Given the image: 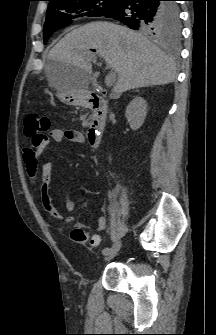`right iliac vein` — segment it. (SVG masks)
Here are the masks:
<instances>
[{
  "mask_svg": "<svg viewBox=\"0 0 216 335\" xmlns=\"http://www.w3.org/2000/svg\"><path fill=\"white\" fill-rule=\"evenodd\" d=\"M121 247H122V240H117L111 247L110 251L105 255L104 260L109 261L113 259L115 256H117Z\"/></svg>",
  "mask_w": 216,
  "mask_h": 335,
  "instance_id": "obj_1",
  "label": "right iliac vein"
}]
</instances>
